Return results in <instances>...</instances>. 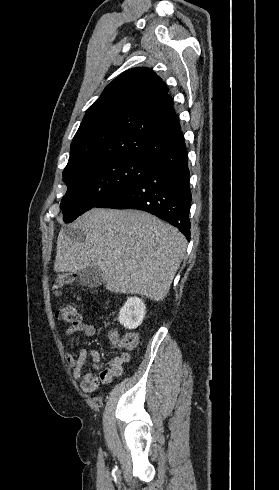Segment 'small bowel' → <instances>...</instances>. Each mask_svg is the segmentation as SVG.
I'll return each mask as SVG.
<instances>
[{
    "label": "small bowel",
    "mask_w": 279,
    "mask_h": 490,
    "mask_svg": "<svg viewBox=\"0 0 279 490\" xmlns=\"http://www.w3.org/2000/svg\"><path fill=\"white\" fill-rule=\"evenodd\" d=\"M95 332L96 330L93 325L80 322L66 328L63 331V336L66 339H70L76 334L81 333L84 337L89 338L93 337ZM87 358H91L92 364L98 370V373L83 370ZM130 361L131 354L125 351L112 357L106 364L102 363L101 355L96 350L81 348L77 355L66 354V362L73 369L74 379L80 383L82 390L88 393L99 390L102 383H109L115 377L121 375L124 370V364Z\"/></svg>",
    "instance_id": "small-bowel-1"
}]
</instances>
